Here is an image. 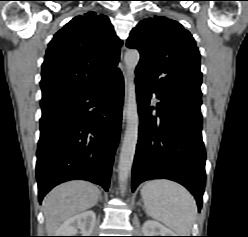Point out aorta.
<instances>
[{"label": "aorta", "instance_id": "aorta-1", "mask_svg": "<svg viewBox=\"0 0 248 237\" xmlns=\"http://www.w3.org/2000/svg\"><path fill=\"white\" fill-rule=\"evenodd\" d=\"M140 59L137 50H129L125 53L124 61L129 75L127 98V125L119 157V183L122 188L127 183L133 164L136 145L138 141L139 116L137 110L136 90L134 84L135 69Z\"/></svg>", "mask_w": 248, "mask_h": 237}]
</instances>
